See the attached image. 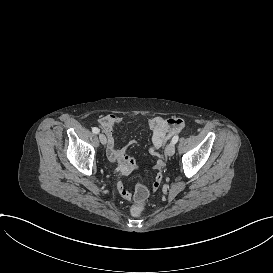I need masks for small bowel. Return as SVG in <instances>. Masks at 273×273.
I'll use <instances>...</instances> for the list:
<instances>
[{"label":"small bowel","instance_id":"small-bowel-1","mask_svg":"<svg viewBox=\"0 0 273 273\" xmlns=\"http://www.w3.org/2000/svg\"><path fill=\"white\" fill-rule=\"evenodd\" d=\"M121 117L109 113L101 116L98 119V124L105 133L107 138V155L108 158L113 162H118V169L124 176H127L131 172L137 169V164L135 160L127 155L128 146L118 147L115 140L114 129L117 125L121 123ZM149 128L152 132L151 144L149 147V152L151 155L157 157L156 168L163 172L167 167V159L161 157L159 150L164 145L166 139L175 133L181 131L184 126V120L179 117H164V116H155L149 120ZM129 169V171H128ZM162 182V177L160 174H157L155 177V182L149 187L151 192L157 190ZM119 192L124 195L126 200H129L133 197V194L129 189H126V186L123 182H120L117 186Z\"/></svg>","mask_w":273,"mask_h":273}]
</instances>
